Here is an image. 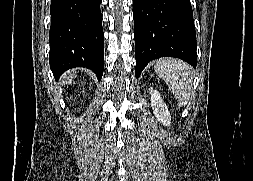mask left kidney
I'll return each mask as SVG.
<instances>
[{
    "label": "left kidney",
    "instance_id": "1",
    "mask_svg": "<svg viewBox=\"0 0 253 181\" xmlns=\"http://www.w3.org/2000/svg\"><path fill=\"white\" fill-rule=\"evenodd\" d=\"M150 95L151 107L154 115L157 117V120L160 121L164 126H170L171 115L160 94L157 90H153L151 88Z\"/></svg>",
    "mask_w": 253,
    "mask_h": 181
}]
</instances>
